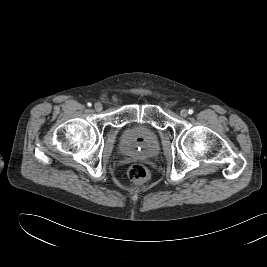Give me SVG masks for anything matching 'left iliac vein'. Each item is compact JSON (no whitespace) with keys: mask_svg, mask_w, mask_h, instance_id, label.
I'll list each match as a JSON object with an SVG mask.
<instances>
[{"mask_svg":"<svg viewBox=\"0 0 267 267\" xmlns=\"http://www.w3.org/2000/svg\"><path fill=\"white\" fill-rule=\"evenodd\" d=\"M180 115H181L182 117H187V116H188V110H187V109H182V110L180 111Z\"/></svg>","mask_w":267,"mask_h":267,"instance_id":"obj_1","label":"left iliac vein"}]
</instances>
